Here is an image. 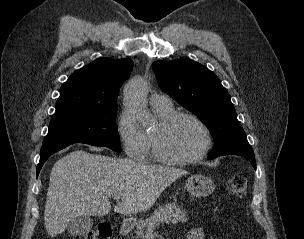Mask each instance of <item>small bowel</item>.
I'll use <instances>...</instances> for the list:
<instances>
[{"label":"small bowel","instance_id":"small-bowel-1","mask_svg":"<svg viewBox=\"0 0 304 239\" xmlns=\"http://www.w3.org/2000/svg\"><path fill=\"white\" fill-rule=\"evenodd\" d=\"M184 239H204V231L201 228H193L186 233Z\"/></svg>","mask_w":304,"mask_h":239}]
</instances>
